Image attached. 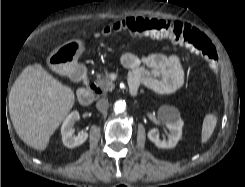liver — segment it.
<instances>
[{
	"label": "liver",
	"mask_w": 245,
	"mask_h": 187,
	"mask_svg": "<svg viewBox=\"0 0 245 187\" xmlns=\"http://www.w3.org/2000/svg\"><path fill=\"white\" fill-rule=\"evenodd\" d=\"M75 103L74 91L41 64L27 66L9 93V112L17 135L28 146L43 151L50 137Z\"/></svg>",
	"instance_id": "6515ba94"
}]
</instances>
